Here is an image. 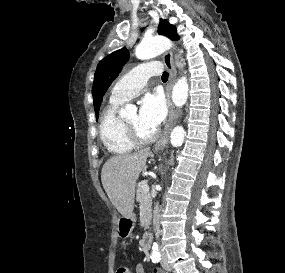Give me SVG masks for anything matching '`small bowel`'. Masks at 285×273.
I'll list each match as a JSON object with an SVG mask.
<instances>
[{"instance_id": "1", "label": "small bowel", "mask_w": 285, "mask_h": 273, "mask_svg": "<svg viewBox=\"0 0 285 273\" xmlns=\"http://www.w3.org/2000/svg\"><path fill=\"white\" fill-rule=\"evenodd\" d=\"M129 273H145L144 268L141 264L136 265V267L134 268V271L131 272L129 271ZM153 273H163L160 269H156L154 270Z\"/></svg>"}]
</instances>
